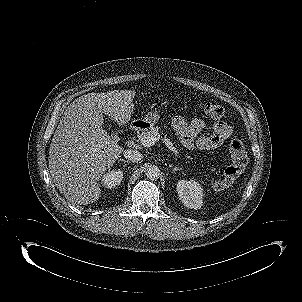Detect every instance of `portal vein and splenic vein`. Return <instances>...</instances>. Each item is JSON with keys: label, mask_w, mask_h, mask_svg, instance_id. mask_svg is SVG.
Instances as JSON below:
<instances>
[{"label": "portal vein and splenic vein", "mask_w": 302, "mask_h": 302, "mask_svg": "<svg viewBox=\"0 0 302 302\" xmlns=\"http://www.w3.org/2000/svg\"><path fill=\"white\" fill-rule=\"evenodd\" d=\"M158 140H159V138L156 136L144 137V138L140 139V143L144 147H150V146L154 145Z\"/></svg>", "instance_id": "18ae733b"}]
</instances>
